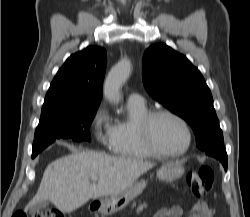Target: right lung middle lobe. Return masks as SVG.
<instances>
[{"mask_svg":"<svg viewBox=\"0 0 250 217\" xmlns=\"http://www.w3.org/2000/svg\"><path fill=\"white\" fill-rule=\"evenodd\" d=\"M96 108L67 110L40 117L36 128L32 158L56 139L71 138L75 141L91 140L90 125Z\"/></svg>","mask_w":250,"mask_h":217,"instance_id":"obj_1","label":"right lung middle lobe"}]
</instances>
